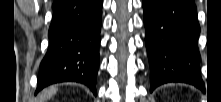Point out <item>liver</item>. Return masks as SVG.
<instances>
[{
    "label": "liver",
    "instance_id": "obj_1",
    "mask_svg": "<svg viewBox=\"0 0 221 102\" xmlns=\"http://www.w3.org/2000/svg\"><path fill=\"white\" fill-rule=\"evenodd\" d=\"M57 92L56 87H50L47 89H44L39 95H38V102H45L46 100L52 98Z\"/></svg>",
    "mask_w": 221,
    "mask_h": 102
}]
</instances>
